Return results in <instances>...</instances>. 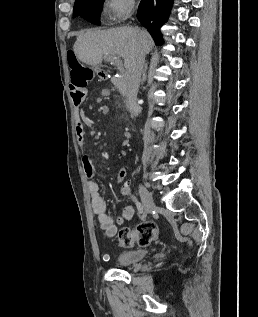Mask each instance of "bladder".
<instances>
[{
    "mask_svg": "<svg viewBox=\"0 0 258 317\" xmlns=\"http://www.w3.org/2000/svg\"><path fill=\"white\" fill-rule=\"evenodd\" d=\"M147 253L148 251L142 248L123 251L116 256V263L120 266H130L141 261Z\"/></svg>",
    "mask_w": 258,
    "mask_h": 317,
    "instance_id": "31cf9c89",
    "label": "bladder"
}]
</instances>
